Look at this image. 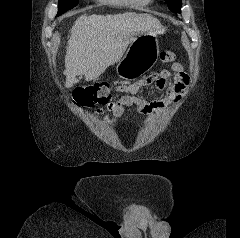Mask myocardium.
I'll return each mask as SVG.
<instances>
[{"mask_svg":"<svg viewBox=\"0 0 240 238\" xmlns=\"http://www.w3.org/2000/svg\"><path fill=\"white\" fill-rule=\"evenodd\" d=\"M128 3L133 4L134 0H126ZM153 0H145V3L148 4L150 2H152Z\"/></svg>","mask_w":240,"mask_h":238,"instance_id":"1","label":"myocardium"}]
</instances>
